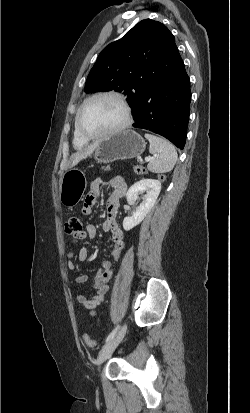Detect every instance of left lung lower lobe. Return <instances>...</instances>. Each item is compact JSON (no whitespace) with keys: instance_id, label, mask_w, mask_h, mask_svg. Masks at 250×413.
<instances>
[{"instance_id":"left-lung-lower-lobe-1","label":"left lung lower lobe","mask_w":250,"mask_h":413,"mask_svg":"<svg viewBox=\"0 0 250 413\" xmlns=\"http://www.w3.org/2000/svg\"><path fill=\"white\" fill-rule=\"evenodd\" d=\"M190 79L178 48L171 45L165 66L145 81L134 101L133 127L142 128L184 148L190 112Z\"/></svg>"}]
</instances>
